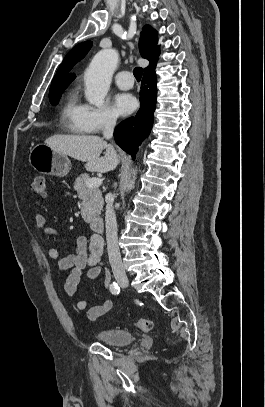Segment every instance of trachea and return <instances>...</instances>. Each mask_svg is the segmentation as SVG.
<instances>
[{"instance_id":"3493384b","label":"trachea","mask_w":265,"mask_h":407,"mask_svg":"<svg viewBox=\"0 0 265 407\" xmlns=\"http://www.w3.org/2000/svg\"><path fill=\"white\" fill-rule=\"evenodd\" d=\"M142 73H143V70H142L141 67H136V68L134 69V71H133V74H134L136 80H138V81L141 80Z\"/></svg>"}]
</instances>
